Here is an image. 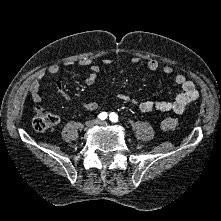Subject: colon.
<instances>
[{"mask_svg":"<svg viewBox=\"0 0 221 221\" xmlns=\"http://www.w3.org/2000/svg\"><path fill=\"white\" fill-rule=\"evenodd\" d=\"M58 118L54 114L44 113L42 111H37L33 118V128L36 131H45L54 124H56ZM179 122L175 117H167L162 122V127L165 130L173 131L178 128Z\"/></svg>","mask_w":221,"mask_h":221,"instance_id":"1","label":"colon"}]
</instances>
